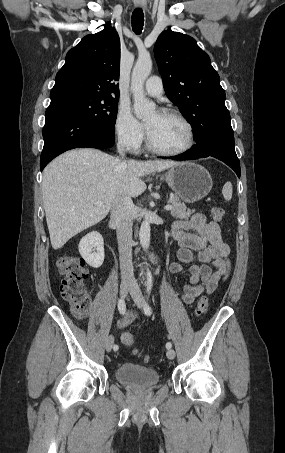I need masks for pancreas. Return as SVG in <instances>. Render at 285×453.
<instances>
[{
	"label": "pancreas",
	"instance_id": "1",
	"mask_svg": "<svg viewBox=\"0 0 285 453\" xmlns=\"http://www.w3.org/2000/svg\"><path fill=\"white\" fill-rule=\"evenodd\" d=\"M169 202L172 204L171 215L174 218L188 220L195 210L187 209L185 204L181 203L177 196L171 195Z\"/></svg>",
	"mask_w": 285,
	"mask_h": 453
}]
</instances>
